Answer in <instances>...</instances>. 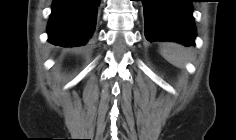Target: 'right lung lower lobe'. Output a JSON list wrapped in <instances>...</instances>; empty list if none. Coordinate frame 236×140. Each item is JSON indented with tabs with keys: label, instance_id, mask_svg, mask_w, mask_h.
<instances>
[{
	"label": "right lung lower lobe",
	"instance_id": "obj_1",
	"mask_svg": "<svg viewBox=\"0 0 236 140\" xmlns=\"http://www.w3.org/2000/svg\"><path fill=\"white\" fill-rule=\"evenodd\" d=\"M100 0H53L48 41L54 45L82 46L92 36Z\"/></svg>",
	"mask_w": 236,
	"mask_h": 140
}]
</instances>
